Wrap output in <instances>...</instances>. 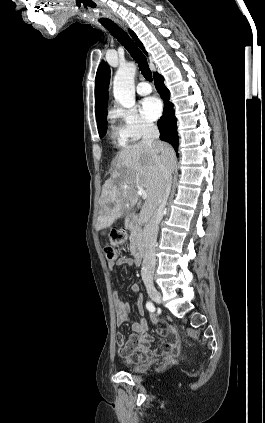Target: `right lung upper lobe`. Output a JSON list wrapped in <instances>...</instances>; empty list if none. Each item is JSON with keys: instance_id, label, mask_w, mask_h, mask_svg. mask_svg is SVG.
<instances>
[{"instance_id": "1", "label": "right lung upper lobe", "mask_w": 265, "mask_h": 423, "mask_svg": "<svg viewBox=\"0 0 265 423\" xmlns=\"http://www.w3.org/2000/svg\"><path fill=\"white\" fill-rule=\"evenodd\" d=\"M130 35L136 41L138 46L145 52L147 55L143 44L137 38L136 34L129 30ZM110 80V71L105 62H102L97 70L96 73V81H95V113H96V120L97 123L107 115V102H108V85Z\"/></svg>"}]
</instances>
